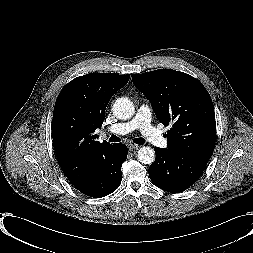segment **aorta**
Here are the masks:
<instances>
[{
	"mask_svg": "<svg viewBox=\"0 0 253 253\" xmlns=\"http://www.w3.org/2000/svg\"><path fill=\"white\" fill-rule=\"evenodd\" d=\"M112 110L115 117L122 120L130 119L135 113L133 102L127 97L117 98ZM137 159L142 164L150 165L155 160V151L148 146H143L137 152Z\"/></svg>",
	"mask_w": 253,
	"mask_h": 253,
	"instance_id": "aorta-1",
	"label": "aorta"
}]
</instances>
